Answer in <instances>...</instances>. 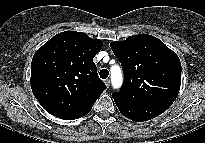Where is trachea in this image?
Instances as JSON below:
<instances>
[{"instance_id": "obj_1", "label": "trachea", "mask_w": 205, "mask_h": 143, "mask_svg": "<svg viewBox=\"0 0 205 143\" xmlns=\"http://www.w3.org/2000/svg\"><path fill=\"white\" fill-rule=\"evenodd\" d=\"M99 75H100V77H101L102 79H106V78L108 77V75H109V72H108L107 69H102V70L100 71Z\"/></svg>"}]
</instances>
